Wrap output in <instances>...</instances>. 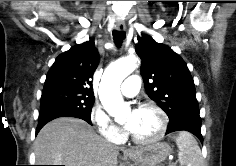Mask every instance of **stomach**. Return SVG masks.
Segmentation results:
<instances>
[{
    "label": "stomach",
    "mask_w": 236,
    "mask_h": 166,
    "mask_svg": "<svg viewBox=\"0 0 236 166\" xmlns=\"http://www.w3.org/2000/svg\"><path fill=\"white\" fill-rule=\"evenodd\" d=\"M171 153V147L167 143L158 142L136 150L129 157L139 163V166H161Z\"/></svg>",
    "instance_id": "1"
}]
</instances>
